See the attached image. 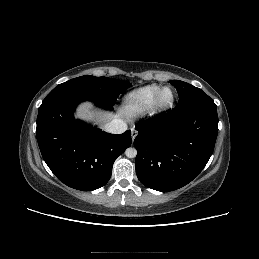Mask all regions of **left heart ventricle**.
I'll return each instance as SVG.
<instances>
[{"label": "left heart ventricle", "mask_w": 259, "mask_h": 259, "mask_svg": "<svg viewBox=\"0 0 259 259\" xmlns=\"http://www.w3.org/2000/svg\"><path fill=\"white\" fill-rule=\"evenodd\" d=\"M171 97V92L166 90L161 95V102H167Z\"/></svg>", "instance_id": "b2bd125f"}]
</instances>
